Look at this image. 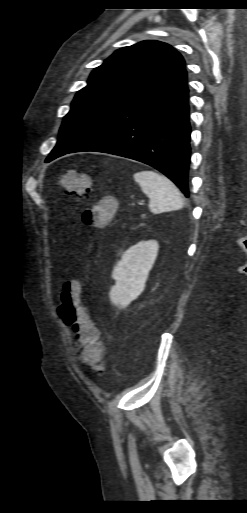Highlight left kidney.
I'll list each match as a JSON object with an SVG mask.
<instances>
[{"label": "left kidney", "mask_w": 247, "mask_h": 513, "mask_svg": "<svg viewBox=\"0 0 247 513\" xmlns=\"http://www.w3.org/2000/svg\"><path fill=\"white\" fill-rule=\"evenodd\" d=\"M159 250L156 240L140 241L126 250L114 267L115 285L110 290L111 302L127 307L143 292Z\"/></svg>", "instance_id": "1"}]
</instances>
